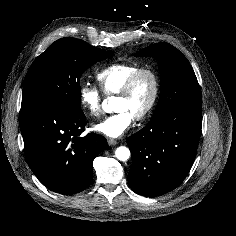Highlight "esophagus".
<instances>
[{"label": "esophagus", "mask_w": 236, "mask_h": 236, "mask_svg": "<svg viewBox=\"0 0 236 236\" xmlns=\"http://www.w3.org/2000/svg\"><path fill=\"white\" fill-rule=\"evenodd\" d=\"M117 144V140L113 139V138H108V145L109 146H113Z\"/></svg>", "instance_id": "34e87169"}]
</instances>
